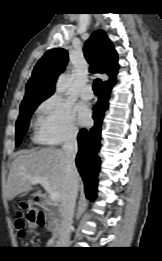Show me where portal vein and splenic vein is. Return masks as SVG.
Returning <instances> with one entry per match:
<instances>
[{
    "label": "portal vein and splenic vein",
    "mask_w": 162,
    "mask_h": 261,
    "mask_svg": "<svg viewBox=\"0 0 162 261\" xmlns=\"http://www.w3.org/2000/svg\"><path fill=\"white\" fill-rule=\"evenodd\" d=\"M30 182L35 184H41L44 189L48 192L49 198L53 202H57L59 200V193L57 191H54L53 188L50 185V182L44 178V177H32L30 178Z\"/></svg>",
    "instance_id": "1"
}]
</instances>
